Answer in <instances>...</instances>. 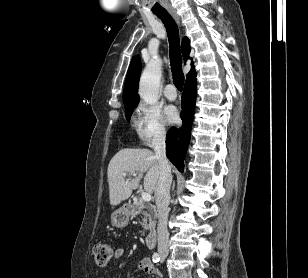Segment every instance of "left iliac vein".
<instances>
[{"label": "left iliac vein", "mask_w": 308, "mask_h": 278, "mask_svg": "<svg viewBox=\"0 0 308 278\" xmlns=\"http://www.w3.org/2000/svg\"><path fill=\"white\" fill-rule=\"evenodd\" d=\"M163 261H164V258H162L161 262H163Z\"/></svg>", "instance_id": "1"}]
</instances>
